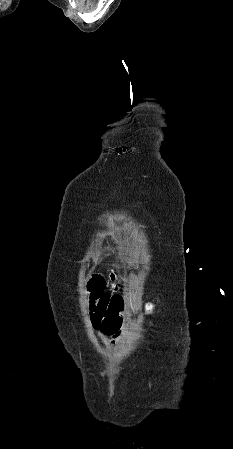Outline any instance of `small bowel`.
<instances>
[{"instance_id": "c3829d8e", "label": "small bowel", "mask_w": 233, "mask_h": 449, "mask_svg": "<svg viewBox=\"0 0 233 449\" xmlns=\"http://www.w3.org/2000/svg\"><path fill=\"white\" fill-rule=\"evenodd\" d=\"M120 281V276L118 274H116L115 272L111 273V282L110 285L112 286V289L114 291H119L121 289V284L119 283ZM109 293L112 291L110 288L107 290ZM121 297V296H120ZM91 319V316H90ZM92 323V320H91ZM93 325V323H92ZM94 327V325H93ZM96 330L99 331V335L101 337V339L108 343V342H115L119 335H120V330L121 328H95Z\"/></svg>"}]
</instances>
